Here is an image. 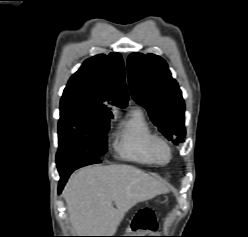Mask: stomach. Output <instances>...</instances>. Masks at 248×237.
I'll use <instances>...</instances> for the list:
<instances>
[{"instance_id": "stomach-1", "label": "stomach", "mask_w": 248, "mask_h": 237, "mask_svg": "<svg viewBox=\"0 0 248 237\" xmlns=\"http://www.w3.org/2000/svg\"><path fill=\"white\" fill-rule=\"evenodd\" d=\"M134 233H135V231L131 230V236H135L136 234H134Z\"/></svg>"}]
</instances>
